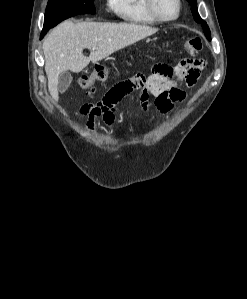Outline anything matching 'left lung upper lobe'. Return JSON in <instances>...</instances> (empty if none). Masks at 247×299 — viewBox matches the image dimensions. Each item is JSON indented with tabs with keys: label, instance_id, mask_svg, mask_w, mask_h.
<instances>
[{
	"label": "left lung upper lobe",
	"instance_id": "obj_1",
	"mask_svg": "<svg viewBox=\"0 0 247 299\" xmlns=\"http://www.w3.org/2000/svg\"><path fill=\"white\" fill-rule=\"evenodd\" d=\"M187 1L191 5L192 15H193L195 21L202 24V27L204 29V33H205L207 39L211 40L209 27L207 26L206 22L201 19L200 15L198 13L196 0H187Z\"/></svg>",
	"mask_w": 247,
	"mask_h": 299
}]
</instances>
